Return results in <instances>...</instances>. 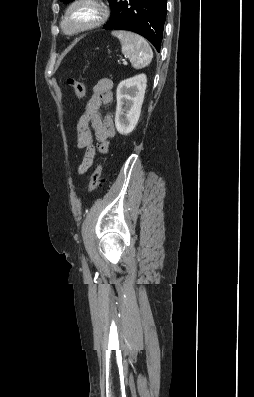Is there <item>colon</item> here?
<instances>
[{
    "label": "colon",
    "instance_id": "1",
    "mask_svg": "<svg viewBox=\"0 0 254 397\" xmlns=\"http://www.w3.org/2000/svg\"><path fill=\"white\" fill-rule=\"evenodd\" d=\"M68 85L73 89L75 97L77 100H81L85 96V86L84 84L74 77H69L67 80ZM102 165L98 164L94 170L89 184V191L93 192L99 188L102 183Z\"/></svg>",
    "mask_w": 254,
    "mask_h": 397
}]
</instances>
